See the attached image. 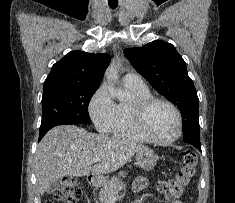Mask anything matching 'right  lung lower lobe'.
Wrapping results in <instances>:
<instances>
[{"label":"right lung lower lobe","mask_w":235,"mask_h":203,"mask_svg":"<svg viewBox=\"0 0 235 203\" xmlns=\"http://www.w3.org/2000/svg\"><path fill=\"white\" fill-rule=\"evenodd\" d=\"M54 126H52V127H49V128H45V129H43V130H40V135H39V140H38V142L43 138V136L51 129V128H53Z\"/></svg>","instance_id":"1"}]
</instances>
